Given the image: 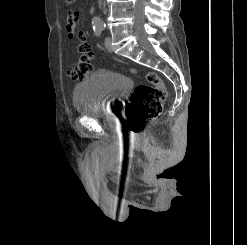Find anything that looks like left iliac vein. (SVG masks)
Masks as SVG:
<instances>
[{
  "label": "left iliac vein",
  "mask_w": 247,
  "mask_h": 245,
  "mask_svg": "<svg viewBox=\"0 0 247 245\" xmlns=\"http://www.w3.org/2000/svg\"><path fill=\"white\" fill-rule=\"evenodd\" d=\"M105 47L106 49L109 51V52H112L113 51V48H112V43H111V38L109 36H107L105 38Z\"/></svg>",
  "instance_id": "1"
}]
</instances>
